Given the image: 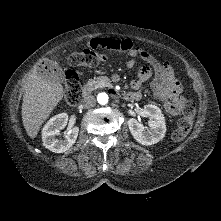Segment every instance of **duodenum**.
Segmentation results:
<instances>
[{
    "mask_svg": "<svg viewBox=\"0 0 221 221\" xmlns=\"http://www.w3.org/2000/svg\"><path fill=\"white\" fill-rule=\"evenodd\" d=\"M91 89L89 86H85L84 89H83V97H86L89 95ZM123 99L125 101H134V100H137V95H135L133 92H127L125 93L123 96Z\"/></svg>",
    "mask_w": 221,
    "mask_h": 221,
    "instance_id": "duodenum-1",
    "label": "duodenum"
}]
</instances>
